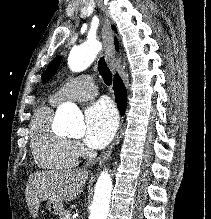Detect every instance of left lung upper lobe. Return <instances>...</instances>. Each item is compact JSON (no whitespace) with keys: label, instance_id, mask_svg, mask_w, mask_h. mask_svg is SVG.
<instances>
[{"label":"left lung upper lobe","instance_id":"obj_1","mask_svg":"<svg viewBox=\"0 0 211 219\" xmlns=\"http://www.w3.org/2000/svg\"><path fill=\"white\" fill-rule=\"evenodd\" d=\"M112 28L114 30L116 29L114 26H112ZM60 61H61V57L58 56L49 64L42 79L43 83L47 82L55 74L56 70L59 67Z\"/></svg>","mask_w":211,"mask_h":219}]
</instances>
